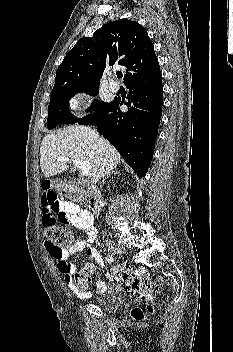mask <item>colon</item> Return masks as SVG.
<instances>
[{"instance_id": "5ec220e1", "label": "colon", "mask_w": 233, "mask_h": 352, "mask_svg": "<svg viewBox=\"0 0 233 352\" xmlns=\"http://www.w3.org/2000/svg\"><path fill=\"white\" fill-rule=\"evenodd\" d=\"M72 198L75 200H81L82 195L80 193H74L72 194ZM43 225L44 235L47 242L61 249L68 247L71 242V233L68 229L57 225V222L55 221L45 222ZM95 270L96 266L89 262L86 263L79 272L74 274L73 280L79 291H87ZM111 276L114 281L124 285L128 292L143 297L147 300H152L158 291L157 285L151 279L143 278L135 274L128 266L125 265L116 266L112 270ZM147 310L152 312L154 307L152 305H148ZM131 315L135 320H142L145 317L144 311L140 308H134L131 311Z\"/></svg>"}]
</instances>
